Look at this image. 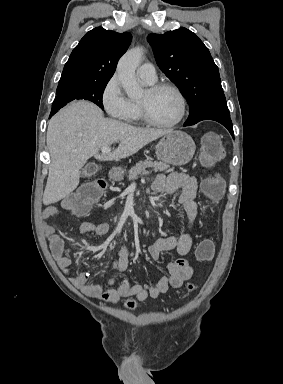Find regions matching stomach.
<instances>
[{
    "mask_svg": "<svg viewBox=\"0 0 283 384\" xmlns=\"http://www.w3.org/2000/svg\"><path fill=\"white\" fill-rule=\"evenodd\" d=\"M195 150V142L191 136L185 132H170L157 144L156 156L165 164L185 166L192 160Z\"/></svg>",
    "mask_w": 283,
    "mask_h": 384,
    "instance_id": "obj_1",
    "label": "stomach"
}]
</instances>
